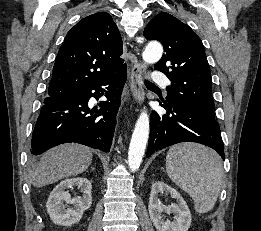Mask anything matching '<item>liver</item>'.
I'll use <instances>...</instances> for the list:
<instances>
[{
    "instance_id": "6515ba94",
    "label": "liver",
    "mask_w": 261,
    "mask_h": 231,
    "mask_svg": "<svg viewBox=\"0 0 261 231\" xmlns=\"http://www.w3.org/2000/svg\"><path fill=\"white\" fill-rule=\"evenodd\" d=\"M92 150L79 144H64L48 150L33 169V186L42 187L84 172L91 164Z\"/></svg>"
}]
</instances>
